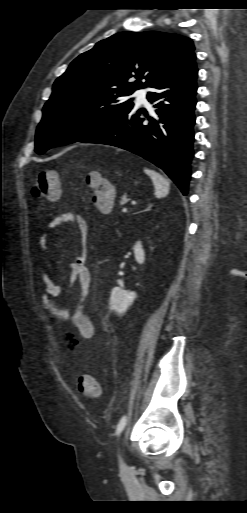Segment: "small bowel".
<instances>
[{"instance_id": "small-bowel-1", "label": "small bowel", "mask_w": 247, "mask_h": 513, "mask_svg": "<svg viewBox=\"0 0 247 513\" xmlns=\"http://www.w3.org/2000/svg\"><path fill=\"white\" fill-rule=\"evenodd\" d=\"M65 223H72L76 226L80 237L82 248L80 253L70 263L71 277H74L72 284L77 285L78 295L75 304L72 307L59 306L55 304L52 298H57L62 295L64 287L52 279L49 275L41 274V282L43 291L40 296L42 307L49 312L52 318L58 322L71 320L76 332L63 327L62 331L72 344L81 351L86 342L94 337L95 328L92 320L85 312L84 300L86 292L91 283V274L86 266V241L88 238V224L86 220L79 214L65 213L57 216L49 223V230H55ZM49 233L42 235L40 244L42 248H48Z\"/></svg>"}]
</instances>
